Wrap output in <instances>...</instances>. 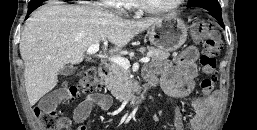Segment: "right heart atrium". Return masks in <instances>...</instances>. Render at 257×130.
Returning a JSON list of instances; mask_svg holds the SVG:
<instances>
[{
	"instance_id": "1",
	"label": "right heart atrium",
	"mask_w": 257,
	"mask_h": 130,
	"mask_svg": "<svg viewBox=\"0 0 257 130\" xmlns=\"http://www.w3.org/2000/svg\"><path fill=\"white\" fill-rule=\"evenodd\" d=\"M100 4L105 7L121 10L125 7L127 0H100Z\"/></svg>"
}]
</instances>
